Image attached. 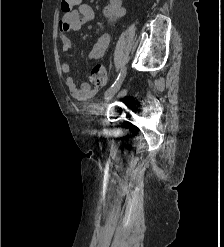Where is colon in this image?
<instances>
[{"mask_svg": "<svg viewBox=\"0 0 224 247\" xmlns=\"http://www.w3.org/2000/svg\"><path fill=\"white\" fill-rule=\"evenodd\" d=\"M82 0H62L61 10L64 14L70 13L73 8L81 3ZM91 80L93 83L103 85L106 83V71L100 66L96 65L91 71Z\"/></svg>", "mask_w": 224, "mask_h": 247, "instance_id": "colon-1", "label": "colon"}]
</instances>
